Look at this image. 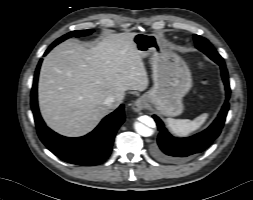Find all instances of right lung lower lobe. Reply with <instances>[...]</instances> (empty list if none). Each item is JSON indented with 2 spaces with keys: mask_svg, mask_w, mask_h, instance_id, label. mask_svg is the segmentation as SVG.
<instances>
[{
  "mask_svg": "<svg viewBox=\"0 0 253 200\" xmlns=\"http://www.w3.org/2000/svg\"><path fill=\"white\" fill-rule=\"evenodd\" d=\"M55 44H52L45 52L47 54ZM40 60L34 75L31 92V107L34 114L37 132L45 146L57 157L65 162L93 166L102 163L111 153L115 134L125 120L124 106L106 116L100 124L89 134L68 138L61 136L49 129L40 116L37 103V81Z\"/></svg>",
  "mask_w": 253,
  "mask_h": 200,
  "instance_id": "right-lung-lower-lobe-1",
  "label": "right lung lower lobe"
}]
</instances>
